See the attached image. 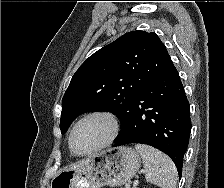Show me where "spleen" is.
I'll list each match as a JSON object with an SVG mask.
<instances>
[{
	"label": "spleen",
	"instance_id": "spleen-1",
	"mask_svg": "<svg viewBox=\"0 0 224 188\" xmlns=\"http://www.w3.org/2000/svg\"><path fill=\"white\" fill-rule=\"evenodd\" d=\"M135 149L143 159L146 181L161 188H176L178 172L167 155L144 144H136Z\"/></svg>",
	"mask_w": 224,
	"mask_h": 188
}]
</instances>
